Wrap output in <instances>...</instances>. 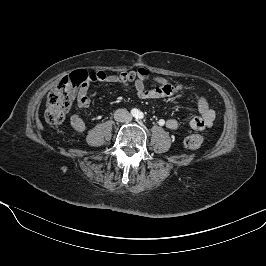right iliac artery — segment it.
<instances>
[{
  "label": "right iliac artery",
  "instance_id": "obj_1",
  "mask_svg": "<svg viewBox=\"0 0 266 266\" xmlns=\"http://www.w3.org/2000/svg\"><path fill=\"white\" fill-rule=\"evenodd\" d=\"M131 114H132L133 116H137V115H138V110H137V109H132V110H131Z\"/></svg>",
  "mask_w": 266,
  "mask_h": 266
}]
</instances>
